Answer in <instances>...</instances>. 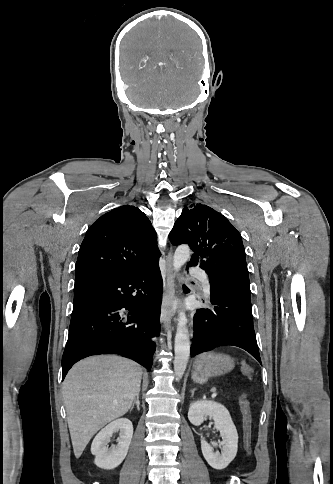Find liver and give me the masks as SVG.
<instances>
[{
    "instance_id": "liver-1",
    "label": "liver",
    "mask_w": 333,
    "mask_h": 484,
    "mask_svg": "<svg viewBox=\"0 0 333 484\" xmlns=\"http://www.w3.org/2000/svg\"><path fill=\"white\" fill-rule=\"evenodd\" d=\"M141 377L138 364L119 356H92L70 369L63 399L76 458L98 430L129 411Z\"/></svg>"
}]
</instances>
